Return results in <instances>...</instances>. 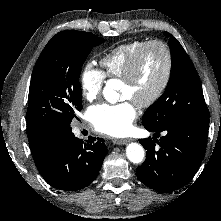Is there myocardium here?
Wrapping results in <instances>:
<instances>
[{
  "label": "myocardium",
  "mask_w": 221,
  "mask_h": 221,
  "mask_svg": "<svg viewBox=\"0 0 221 221\" xmlns=\"http://www.w3.org/2000/svg\"><path fill=\"white\" fill-rule=\"evenodd\" d=\"M152 47H159L164 52L166 59L165 72L161 83L154 91V93L145 101L137 104L140 108H149L153 106L163 96L169 86L173 73V54L170 46L162 40L155 39L145 42L142 47L136 52V54L130 60L121 80L125 83H131L134 80L144 54L148 49Z\"/></svg>",
  "instance_id": "obj_1"
}]
</instances>
